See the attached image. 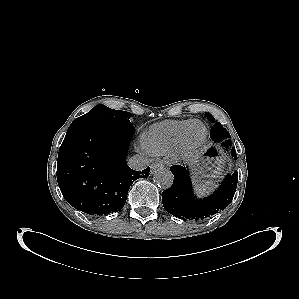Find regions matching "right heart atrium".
Masks as SVG:
<instances>
[{"instance_id":"1","label":"right heart atrium","mask_w":299,"mask_h":299,"mask_svg":"<svg viewBox=\"0 0 299 299\" xmlns=\"http://www.w3.org/2000/svg\"><path fill=\"white\" fill-rule=\"evenodd\" d=\"M141 148L144 152L146 153H150L149 150L147 149V147L145 146L144 142L142 141V144H141Z\"/></svg>"}]
</instances>
